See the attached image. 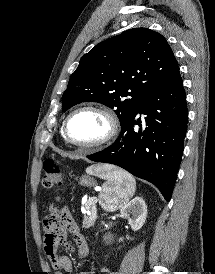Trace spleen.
<instances>
[{
	"mask_svg": "<svg viewBox=\"0 0 215 274\" xmlns=\"http://www.w3.org/2000/svg\"><path fill=\"white\" fill-rule=\"evenodd\" d=\"M86 172L106 179L99 195V203L106 211H114L122 207L135 193L134 177L120 168L111 165H95L88 167Z\"/></svg>",
	"mask_w": 215,
	"mask_h": 274,
	"instance_id": "3e777b00",
	"label": "spleen"
}]
</instances>
